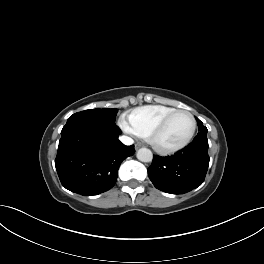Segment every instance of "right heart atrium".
I'll return each mask as SVG.
<instances>
[{
    "instance_id": "d8ad5b80",
    "label": "right heart atrium",
    "mask_w": 264,
    "mask_h": 264,
    "mask_svg": "<svg viewBox=\"0 0 264 264\" xmlns=\"http://www.w3.org/2000/svg\"><path fill=\"white\" fill-rule=\"evenodd\" d=\"M119 125L121 126V128L127 132V133H134L131 126L128 124V122L124 119V118H121L119 120Z\"/></svg>"
}]
</instances>
